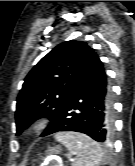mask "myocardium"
Here are the masks:
<instances>
[{
  "instance_id": "obj_1",
  "label": "myocardium",
  "mask_w": 135,
  "mask_h": 166,
  "mask_svg": "<svg viewBox=\"0 0 135 166\" xmlns=\"http://www.w3.org/2000/svg\"><path fill=\"white\" fill-rule=\"evenodd\" d=\"M47 126V122L44 119H39L35 123H33L30 127V130L32 132H41L43 131Z\"/></svg>"
}]
</instances>
